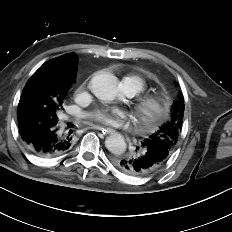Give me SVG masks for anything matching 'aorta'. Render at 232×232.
<instances>
[{"instance_id": "obj_1", "label": "aorta", "mask_w": 232, "mask_h": 232, "mask_svg": "<svg viewBox=\"0 0 232 232\" xmlns=\"http://www.w3.org/2000/svg\"><path fill=\"white\" fill-rule=\"evenodd\" d=\"M91 89L94 95L104 101H112L118 95V79L111 73L99 72L91 79ZM105 147L113 154H122L126 142L120 134H112L105 140Z\"/></svg>"}]
</instances>
